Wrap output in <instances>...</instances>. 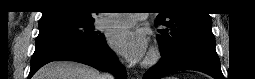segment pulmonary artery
Segmentation results:
<instances>
[{"mask_svg":"<svg viewBox=\"0 0 255 79\" xmlns=\"http://www.w3.org/2000/svg\"><path fill=\"white\" fill-rule=\"evenodd\" d=\"M148 16V13L111 14L108 17H102L99 20L98 25L99 27L130 26L137 21L145 20Z\"/></svg>","mask_w":255,"mask_h":79,"instance_id":"1","label":"pulmonary artery"}]
</instances>
